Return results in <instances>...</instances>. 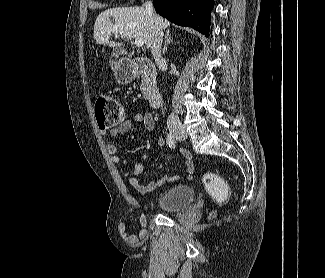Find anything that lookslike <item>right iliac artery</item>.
Returning <instances> with one entry per match:
<instances>
[{
    "instance_id": "right-iliac-artery-1",
    "label": "right iliac artery",
    "mask_w": 325,
    "mask_h": 278,
    "mask_svg": "<svg viewBox=\"0 0 325 278\" xmlns=\"http://www.w3.org/2000/svg\"><path fill=\"white\" fill-rule=\"evenodd\" d=\"M166 142H167V144H168V146H169L170 148H175V140H174V138L171 136V134H169V135L167 136Z\"/></svg>"
}]
</instances>
